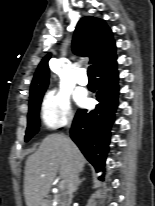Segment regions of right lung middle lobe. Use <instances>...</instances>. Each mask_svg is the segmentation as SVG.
Masks as SVG:
<instances>
[{
    "instance_id": "obj_1",
    "label": "right lung middle lobe",
    "mask_w": 155,
    "mask_h": 206,
    "mask_svg": "<svg viewBox=\"0 0 155 206\" xmlns=\"http://www.w3.org/2000/svg\"><path fill=\"white\" fill-rule=\"evenodd\" d=\"M44 91L38 93L37 95L30 97L29 102V113H28V125L26 129L25 141L31 139L37 132L39 127V110Z\"/></svg>"
}]
</instances>
